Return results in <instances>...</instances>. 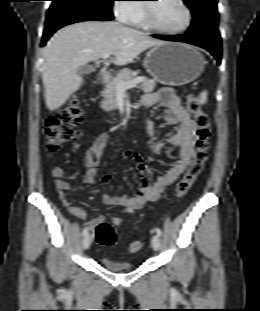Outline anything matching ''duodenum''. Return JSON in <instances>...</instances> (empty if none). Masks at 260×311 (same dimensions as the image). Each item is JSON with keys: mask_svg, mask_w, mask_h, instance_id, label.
I'll list each match as a JSON object with an SVG mask.
<instances>
[{"mask_svg": "<svg viewBox=\"0 0 260 311\" xmlns=\"http://www.w3.org/2000/svg\"><path fill=\"white\" fill-rule=\"evenodd\" d=\"M109 79V71L106 70V69H102L98 75H97V78H96V81L99 85H102L104 84L105 82H107Z\"/></svg>", "mask_w": 260, "mask_h": 311, "instance_id": "1", "label": "duodenum"}]
</instances>
